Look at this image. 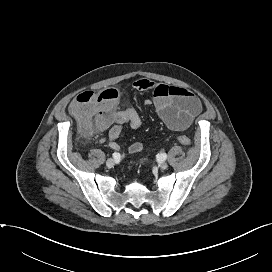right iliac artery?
<instances>
[{"label":"right iliac artery","mask_w":272,"mask_h":272,"mask_svg":"<svg viewBox=\"0 0 272 272\" xmlns=\"http://www.w3.org/2000/svg\"><path fill=\"white\" fill-rule=\"evenodd\" d=\"M112 156H113V158L115 159V160H120V154L119 153H117V152H114L113 154H112Z\"/></svg>","instance_id":"1"}]
</instances>
